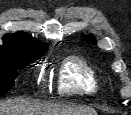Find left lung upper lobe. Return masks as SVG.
Here are the masks:
<instances>
[{
    "mask_svg": "<svg viewBox=\"0 0 131 115\" xmlns=\"http://www.w3.org/2000/svg\"><path fill=\"white\" fill-rule=\"evenodd\" d=\"M84 38H85V40H87L88 42L93 43V36H92V35H89V36L84 35Z\"/></svg>",
    "mask_w": 131,
    "mask_h": 115,
    "instance_id": "obj_1",
    "label": "left lung upper lobe"
}]
</instances>
